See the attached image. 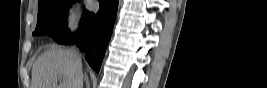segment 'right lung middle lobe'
<instances>
[{"mask_svg":"<svg viewBox=\"0 0 267 88\" xmlns=\"http://www.w3.org/2000/svg\"><path fill=\"white\" fill-rule=\"evenodd\" d=\"M78 0L38 1V19L34 35H49L53 38L67 30V10Z\"/></svg>","mask_w":267,"mask_h":88,"instance_id":"right-lung-middle-lobe-1","label":"right lung middle lobe"}]
</instances>
